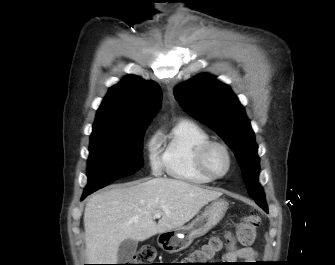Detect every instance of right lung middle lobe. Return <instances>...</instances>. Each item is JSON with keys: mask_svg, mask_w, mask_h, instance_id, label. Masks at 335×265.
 <instances>
[{"mask_svg": "<svg viewBox=\"0 0 335 265\" xmlns=\"http://www.w3.org/2000/svg\"><path fill=\"white\" fill-rule=\"evenodd\" d=\"M146 126L141 124L120 132L92 133L88 185L84 193L90 194L143 167L142 139Z\"/></svg>", "mask_w": 335, "mask_h": 265, "instance_id": "right-lung-middle-lobe-1", "label": "right lung middle lobe"}]
</instances>
